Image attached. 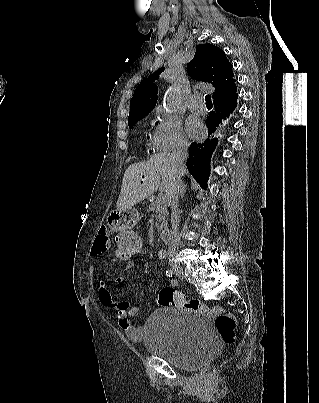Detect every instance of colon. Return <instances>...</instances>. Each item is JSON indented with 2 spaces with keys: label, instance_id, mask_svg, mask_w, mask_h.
Wrapping results in <instances>:
<instances>
[{
  "label": "colon",
  "instance_id": "colon-1",
  "mask_svg": "<svg viewBox=\"0 0 319 403\" xmlns=\"http://www.w3.org/2000/svg\"><path fill=\"white\" fill-rule=\"evenodd\" d=\"M144 235L128 232L115 236V253L117 254L118 268H135V260L144 253ZM124 276V273H121ZM115 291L123 290L122 282L114 283ZM126 293V290H123ZM157 302L162 307H176L200 313L213 320L215 329L222 341L232 344L235 341L236 319L233 313L222 307H207L197 299H187L182 293L171 287L160 290Z\"/></svg>",
  "mask_w": 319,
  "mask_h": 403
}]
</instances>
